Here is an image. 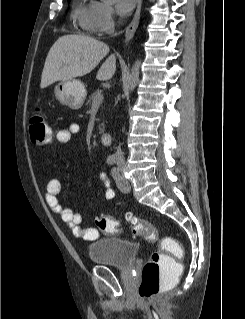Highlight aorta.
<instances>
[{"mask_svg": "<svg viewBox=\"0 0 245 319\" xmlns=\"http://www.w3.org/2000/svg\"><path fill=\"white\" fill-rule=\"evenodd\" d=\"M112 1V0H109ZM152 1V0H150ZM141 61L136 60L128 77V90L132 92L139 82Z\"/></svg>", "mask_w": 245, "mask_h": 319, "instance_id": "obj_1", "label": "aorta"}]
</instances>
